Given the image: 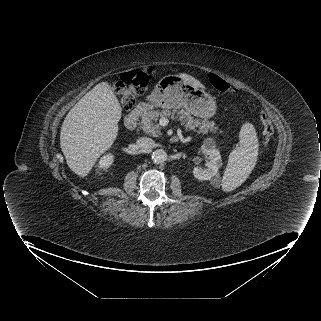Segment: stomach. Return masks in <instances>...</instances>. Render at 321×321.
<instances>
[{"label":"stomach","mask_w":321,"mask_h":321,"mask_svg":"<svg viewBox=\"0 0 321 321\" xmlns=\"http://www.w3.org/2000/svg\"><path fill=\"white\" fill-rule=\"evenodd\" d=\"M149 102L154 107H184L194 116L209 119L216 113L214 97L184 81L180 75L162 77L153 89Z\"/></svg>","instance_id":"obj_1"}]
</instances>
